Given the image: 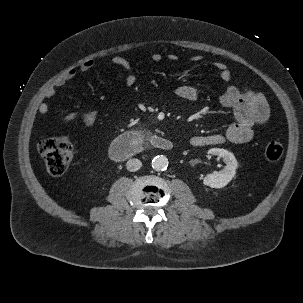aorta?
<instances>
[{
	"label": "aorta",
	"mask_w": 303,
	"mask_h": 303,
	"mask_svg": "<svg viewBox=\"0 0 303 303\" xmlns=\"http://www.w3.org/2000/svg\"><path fill=\"white\" fill-rule=\"evenodd\" d=\"M168 167V159L163 156H156L152 160V168L156 171H164Z\"/></svg>",
	"instance_id": "obj_1"
}]
</instances>
